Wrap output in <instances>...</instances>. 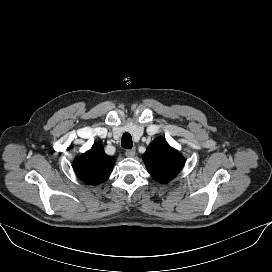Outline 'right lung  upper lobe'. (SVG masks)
Returning <instances> with one entry per match:
<instances>
[{"label":"right lung upper lobe","mask_w":272,"mask_h":272,"mask_svg":"<svg viewBox=\"0 0 272 272\" xmlns=\"http://www.w3.org/2000/svg\"><path fill=\"white\" fill-rule=\"evenodd\" d=\"M115 159L105 154L101 144H94L81 157L74 160L73 167L77 176L89 184H99L109 177Z\"/></svg>","instance_id":"1"}]
</instances>
